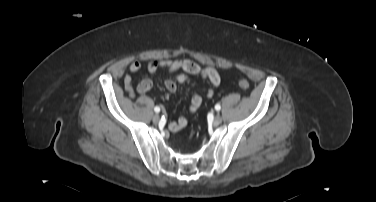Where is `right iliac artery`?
Listing matches in <instances>:
<instances>
[{"instance_id":"82829eb1","label":"right iliac artery","mask_w":376,"mask_h":202,"mask_svg":"<svg viewBox=\"0 0 376 202\" xmlns=\"http://www.w3.org/2000/svg\"><path fill=\"white\" fill-rule=\"evenodd\" d=\"M154 111H155L156 113H159V112H160V108H159L158 106H156V107L154 108Z\"/></svg>"}]
</instances>
